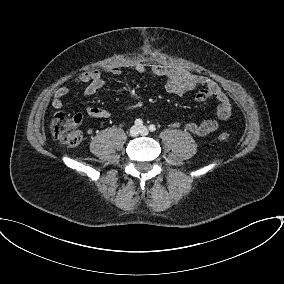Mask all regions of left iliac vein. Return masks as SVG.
I'll use <instances>...</instances> for the list:
<instances>
[{
  "label": "left iliac vein",
  "instance_id": "1",
  "mask_svg": "<svg viewBox=\"0 0 284 284\" xmlns=\"http://www.w3.org/2000/svg\"><path fill=\"white\" fill-rule=\"evenodd\" d=\"M139 130H140V133H141L142 135H147V134H148V129H147L145 126H141V127L139 128Z\"/></svg>",
  "mask_w": 284,
  "mask_h": 284
}]
</instances>
